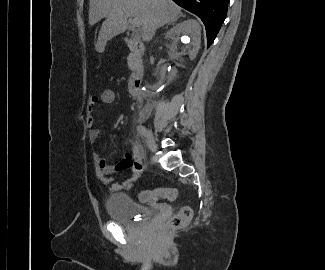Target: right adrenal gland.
<instances>
[{
  "instance_id": "2a0ac1e0",
  "label": "right adrenal gland",
  "mask_w": 325,
  "mask_h": 270,
  "mask_svg": "<svg viewBox=\"0 0 325 270\" xmlns=\"http://www.w3.org/2000/svg\"><path fill=\"white\" fill-rule=\"evenodd\" d=\"M178 18H175L174 20L170 21L169 24L174 23Z\"/></svg>"
}]
</instances>
